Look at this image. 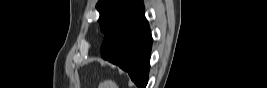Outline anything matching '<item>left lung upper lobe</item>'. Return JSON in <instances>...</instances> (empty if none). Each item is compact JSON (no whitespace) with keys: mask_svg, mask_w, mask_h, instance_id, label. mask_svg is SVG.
Here are the masks:
<instances>
[{"mask_svg":"<svg viewBox=\"0 0 267 88\" xmlns=\"http://www.w3.org/2000/svg\"><path fill=\"white\" fill-rule=\"evenodd\" d=\"M141 3V0H100L97 3V9L100 12L98 22L101 31L106 34L126 13Z\"/></svg>","mask_w":267,"mask_h":88,"instance_id":"left-lung-upper-lobe-1","label":"left lung upper lobe"}]
</instances>
